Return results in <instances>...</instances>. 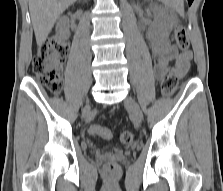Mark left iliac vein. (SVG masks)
<instances>
[{
    "label": "left iliac vein",
    "instance_id": "left-iliac-vein-1",
    "mask_svg": "<svg viewBox=\"0 0 223 191\" xmlns=\"http://www.w3.org/2000/svg\"><path fill=\"white\" fill-rule=\"evenodd\" d=\"M125 106L130 112L132 118L134 119V122L137 125H140L142 122V113L137 102L132 97L128 96L125 99Z\"/></svg>",
    "mask_w": 223,
    "mask_h": 191
}]
</instances>
